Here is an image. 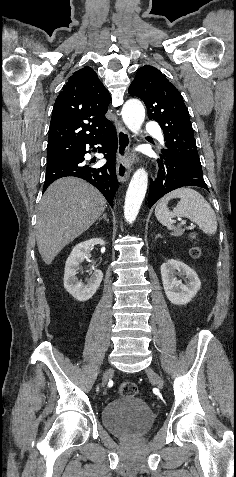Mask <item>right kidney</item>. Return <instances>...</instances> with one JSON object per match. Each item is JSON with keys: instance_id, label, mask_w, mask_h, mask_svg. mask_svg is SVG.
<instances>
[{"instance_id": "ca27d5eb", "label": "right kidney", "mask_w": 236, "mask_h": 477, "mask_svg": "<svg viewBox=\"0 0 236 477\" xmlns=\"http://www.w3.org/2000/svg\"><path fill=\"white\" fill-rule=\"evenodd\" d=\"M106 242L100 238L90 239L76 245L69 255L64 271V288L76 300L84 302L92 298L103 279V273L95 270L90 278L83 283L77 274L81 263L89 257L90 248L94 245L105 246Z\"/></svg>"}]
</instances>
